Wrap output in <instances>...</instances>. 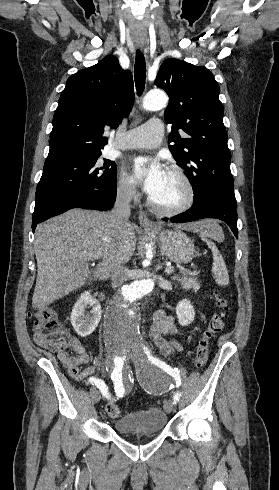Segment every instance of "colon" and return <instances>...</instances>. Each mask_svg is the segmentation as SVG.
I'll return each mask as SVG.
<instances>
[{
	"label": "colon",
	"instance_id": "colon-1",
	"mask_svg": "<svg viewBox=\"0 0 279 490\" xmlns=\"http://www.w3.org/2000/svg\"><path fill=\"white\" fill-rule=\"evenodd\" d=\"M216 305L219 312L216 313L203 330L197 341L195 362L199 367L204 366L209 357V347L211 340L222 330L225 325L227 313L230 308L229 302L225 296L220 293H214ZM31 316L35 317V335L39 342V347L52 352L63 354L67 349H73L71 330L62 328L56 319V314L52 309H37ZM105 410L110 417L119 418L122 415L120 406L109 403Z\"/></svg>",
	"mask_w": 279,
	"mask_h": 490
}]
</instances>
